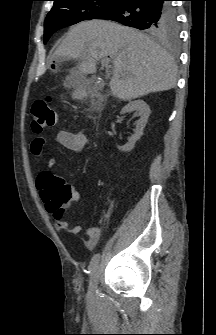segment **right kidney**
Masks as SVG:
<instances>
[{"label":"right kidney","instance_id":"right-kidney-1","mask_svg":"<svg viewBox=\"0 0 216 335\" xmlns=\"http://www.w3.org/2000/svg\"><path fill=\"white\" fill-rule=\"evenodd\" d=\"M132 111H136V115H138L140 118L138 121H136V128L134 134L129 138L128 143L124 146L118 147L119 150L124 152L131 151L134 148L136 141L143 134V129L150 115V108L143 100H135L128 103L121 110V114H126Z\"/></svg>","mask_w":216,"mask_h":335}]
</instances>
